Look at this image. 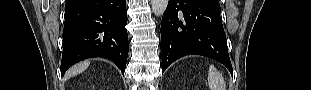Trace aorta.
<instances>
[{"instance_id":"1","label":"aorta","mask_w":311,"mask_h":90,"mask_svg":"<svg viewBox=\"0 0 311 90\" xmlns=\"http://www.w3.org/2000/svg\"><path fill=\"white\" fill-rule=\"evenodd\" d=\"M151 5L155 16H162L167 8L168 0H151Z\"/></svg>"}]
</instances>
